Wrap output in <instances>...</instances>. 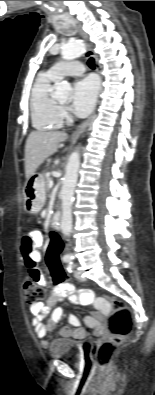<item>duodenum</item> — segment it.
Wrapping results in <instances>:
<instances>
[{"instance_id": "1", "label": "duodenum", "mask_w": 155, "mask_h": 395, "mask_svg": "<svg viewBox=\"0 0 155 395\" xmlns=\"http://www.w3.org/2000/svg\"><path fill=\"white\" fill-rule=\"evenodd\" d=\"M52 226L54 229L59 230L61 226V214L56 212L52 217Z\"/></svg>"}]
</instances>
